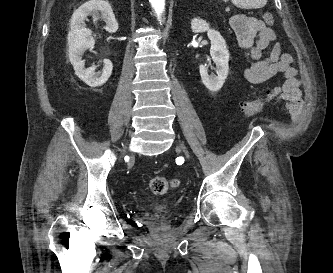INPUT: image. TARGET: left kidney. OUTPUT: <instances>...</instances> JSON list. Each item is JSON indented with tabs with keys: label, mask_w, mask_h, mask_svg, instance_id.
<instances>
[{
	"label": "left kidney",
	"mask_w": 333,
	"mask_h": 273,
	"mask_svg": "<svg viewBox=\"0 0 333 273\" xmlns=\"http://www.w3.org/2000/svg\"><path fill=\"white\" fill-rule=\"evenodd\" d=\"M191 29L194 33L207 32L211 41L210 55L216 64L217 75H208L206 65H200L199 70L203 84L210 91L216 92L222 88L229 71V51L226 42L218 31L210 29L209 24L202 19H193Z\"/></svg>",
	"instance_id": "left-kidney-1"
}]
</instances>
